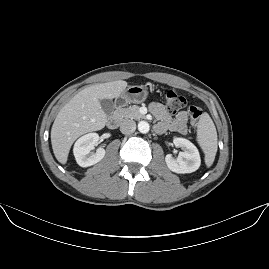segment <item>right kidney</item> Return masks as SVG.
<instances>
[{
	"instance_id": "1",
	"label": "right kidney",
	"mask_w": 269,
	"mask_h": 269,
	"mask_svg": "<svg viewBox=\"0 0 269 269\" xmlns=\"http://www.w3.org/2000/svg\"><path fill=\"white\" fill-rule=\"evenodd\" d=\"M98 141L99 135L97 133H88L75 142L73 153L79 166L88 167L104 158L105 150L103 148H98L95 153H90Z\"/></svg>"
}]
</instances>
